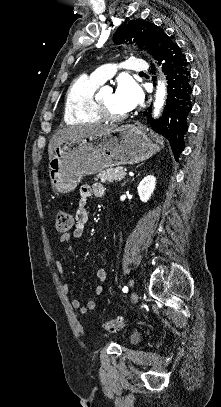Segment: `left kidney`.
Segmentation results:
<instances>
[{
  "instance_id": "left-kidney-1",
  "label": "left kidney",
  "mask_w": 221,
  "mask_h": 407,
  "mask_svg": "<svg viewBox=\"0 0 221 407\" xmlns=\"http://www.w3.org/2000/svg\"><path fill=\"white\" fill-rule=\"evenodd\" d=\"M156 178L153 175L146 176L138 185V195L142 202H147L154 192Z\"/></svg>"
}]
</instances>
